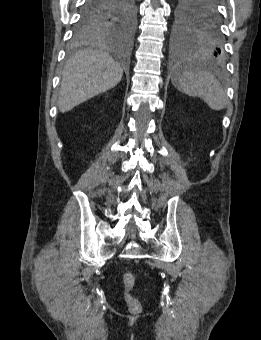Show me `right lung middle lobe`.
<instances>
[{"instance_id": "obj_1", "label": "right lung middle lobe", "mask_w": 261, "mask_h": 340, "mask_svg": "<svg viewBox=\"0 0 261 340\" xmlns=\"http://www.w3.org/2000/svg\"><path fill=\"white\" fill-rule=\"evenodd\" d=\"M136 17L134 0H126L124 8H119L116 14L105 13L87 23L75 27L72 45L103 42L111 40L127 41L131 38Z\"/></svg>"}]
</instances>
